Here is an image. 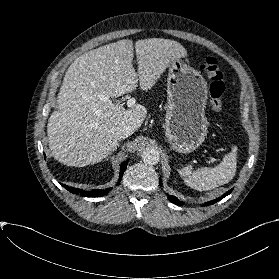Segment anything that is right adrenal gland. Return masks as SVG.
<instances>
[{"label": "right adrenal gland", "instance_id": "obj_1", "mask_svg": "<svg viewBox=\"0 0 279 279\" xmlns=\"http://www.w3.org/2000/svg\"><path fill=\"white\" fill-rule=\"evenodd\" d=\"M118 146H119V143H117L116 147L114 148V150L112 152H114ZM109 155H111V153ZM106 160H108V158Z\"/></svg>", "mask_w": 279, "mask_h": 279}]
</instances>
